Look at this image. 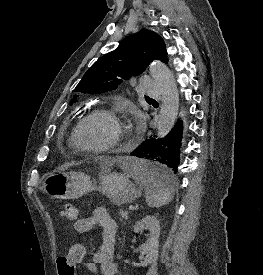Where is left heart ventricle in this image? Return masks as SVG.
<instances>
[{
	"mask_svg": "<svg viewBox=\"0 0 263 275\" xmlns=\"http://www.w3.org/2000/svg\"><path fill=\"white\" fill-rule=\"evenodd\" d=\"M117 136L116 125L107 117L96 116L87 121L79 131L81 142L89 146H103Z\"/></svg>",
	"mask_w": 263,
	"mask_h": 275,
	"instance_id": "obj_1",
	"label": "left heart ventricle"
}]
</instances>
